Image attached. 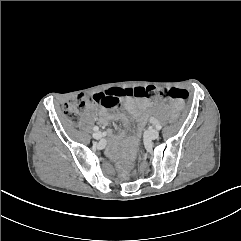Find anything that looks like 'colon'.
Here are the masks:
<instances>
[{
	"mask_svg": "<svg viewBox=\"0 0 241 241\" xmlns=\"http://www.w3.org/2000/svg\"><path fill=\"white\" fill-rule=\"evenodd\" d=\"M188 96L187 91L178 88H165L157 86L137 87L132 89H125L123 87H110L104 89L92 96L79 95L64 107V114L71 123H76L80 112L89 106L104 105L108 107H116L120 100L126 97H138L146 99H165L181 102ZM178 112L173 110L168 116V122L173 125L178 120Z\"/></svg>",
	"mask_w": 241,
	"mask_h": 241,
	"instance_id": "colon-1",
	"label": "colon"
}]
</instances>
